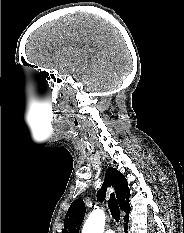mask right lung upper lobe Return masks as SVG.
<instances>
[{
	"label": "right lung upper lobe",
	"instance_id": "obj_1",
	"mask_svg": "<svg viewBox=\"0 0 184 233\" xmlns=\"http://www.w3.org/2000/svg\"><path fill=\"white\" fill-rule=\"evenodd\" d=\"M106 185L113 186L121 210L125 211L128 215L131 210L129 205L130 190L124 175L116 168H109L107 170L105 174V182L97 194V199L100 202H103L105 199ZM85 212V204L82 199H76L73 201L66 213L62 233H79ZM126 218L128 217L125 216L124 219Z\"/></svg>",
	"mask_w": 184,
	"mask_h": 233
}]
</instances>
